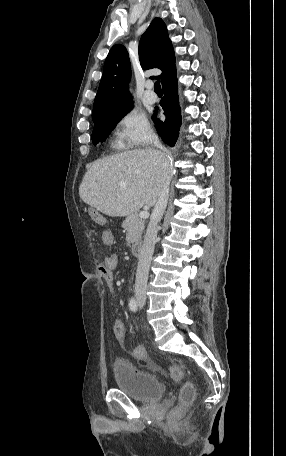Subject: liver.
Listing matches in <instances>:
<instances>
[{
  "mask_svg": "<svg viewBox=\"0 0 286 456\" xmlns=\"http://www.w3.org/2000/svg\"><path fill=\"white\" fill-rule=\"evenodd\" d=\"M169 159L147 148L118 153L95 161L79 187L80 198L110 217L154 206L162 179L169 174Z\"/></svg>",
  "mask_w": 286,
  "mask_h": 456,
  "instance_id": "liver-1",
  "label": "liver"
}]
</instances>
